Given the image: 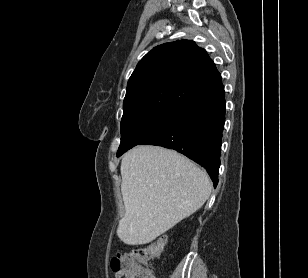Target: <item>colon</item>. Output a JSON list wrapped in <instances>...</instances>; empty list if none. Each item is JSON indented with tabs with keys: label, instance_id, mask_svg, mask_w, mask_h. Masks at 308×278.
I'll use <instances>...</instances> for the list:
<instances>
[{
	"label": "colon",
	"instance_id": "obj_1",
	"mask_svg": "<svg viewBox=\"0 0 308 278\" xmlns=\"http://www.w3.org/2000/svg\"><path fill=\"white\" fill-rule=\"evenodd\" d=\"M165 243L166 237L159 236L143 247L118 252L111 261L115 275L120 278H154L149 261L161 253Z\"/></svg>",
	"mask_w": 308,
	"mask_h": 278
}]
</instances>
